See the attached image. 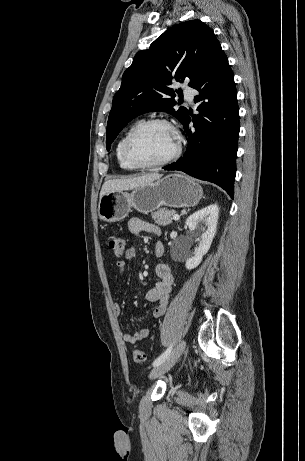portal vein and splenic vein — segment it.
I'll list each match as a JSON object with an SVG mask.
<instances>
[{
	"label": "portal vein and splenic vein",
	"instance_id": "obj_1",
	"mask_svg": "<svg viewBox=\"0 0 305 461\" xmlns=\"http://www.w3.org/2000/svg\"><path fill=\"white\" fill-rule=\"evenodd\" d=\"M173 219H174L175 221H178V220L180 219V216H179L178 214H174V215H173Z\"/></svg>",
	"mask_w": 305,
	"mask_h": 461
}]
</instances>
